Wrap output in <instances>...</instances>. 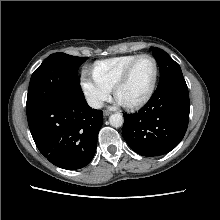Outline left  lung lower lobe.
Returning a JSON list of instances; mask_svg holds the SVG:
<instances>
[{
  "instance_id": "1",
  "label": "left lung lower lobe",
  "mask_w": 220,
  "mask_h": 220,
  "mask_svg": "<svg viewBox=\"0 0 220 220\" xmlns=\"http://www.w3.org/2000/svg\"><path fill=\"white\" fill-rule=\"evenodd\" d=\"M189 94L185 79L171 81L156 91L137 113L124 114L122 135L142 156H159L183 139L189 119Z\"/></svg>"
}]
</instances>
